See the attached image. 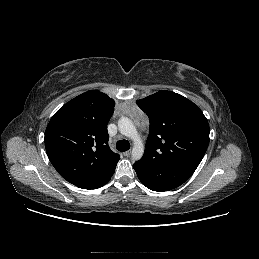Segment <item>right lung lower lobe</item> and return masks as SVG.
Returning a JSON list of instances; mask_svg holds the SVG:
<instances>
[{
	"mask_svg": "<svg viewBox=\"0 0 259 259\" xmlns=\"http://www.w3.org/2000/svg\"><path fill=\"white\" fill-rule=\"evenodd\" d=\"M113 174H111L109 177H107L106 179L102 180L101 182L97 183L96 185L90 187V188H86V189H97L102 187L103 185H105L106 183L109 182L110 178L112 177Z\"/></svg>",
	"mask_w": 259,
	"mask_h": 259,
	"instance_id": "right-lung-lower-lobe-1",
	"label": "right lung lower lobe"
}]
</instances>
